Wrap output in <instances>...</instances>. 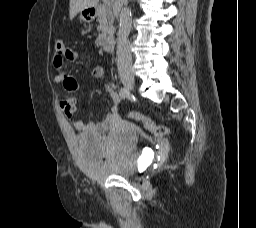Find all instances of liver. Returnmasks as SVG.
<instances>
[{
    "label": "liver",
    "instance_id": "liver-1",
    "mask_svg": "<svg viewBox=\"0 0 256 228\" xmlns=\"http://www.w3.org/2000/svg\"><path fill=\"white\" fill-rule=\"evenodd\" d=\"M98 2L99 0H70V19H73L83 9L95 7Z\"/></svg>",
    "mask_w": 256,
    "mask_h": 228
}]
</instances>
